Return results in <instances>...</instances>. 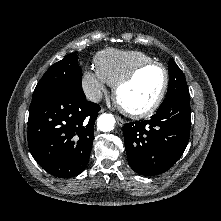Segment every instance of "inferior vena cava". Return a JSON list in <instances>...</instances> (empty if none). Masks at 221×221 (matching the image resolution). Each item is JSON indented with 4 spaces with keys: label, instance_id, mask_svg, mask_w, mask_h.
Returning <instances> with one entry per match:
<instances>
[{
    "label": "inferior vena cava",
    "instance_id": "obj_1",
    "mask_svg": "<svg viewBox=\"0 0 221 221\" xmlns=\"http://www.w3.org/2000/svg\"><path fill=\"white\" fill-rule=\"evenodd\" d=\"M86 97L93 102H99L102 99V92L96 88H91L86 91Z\"/></svg>",
    "mask_w": 221,
    "mask_h": 221
}]
</instances>
